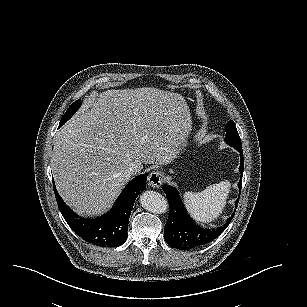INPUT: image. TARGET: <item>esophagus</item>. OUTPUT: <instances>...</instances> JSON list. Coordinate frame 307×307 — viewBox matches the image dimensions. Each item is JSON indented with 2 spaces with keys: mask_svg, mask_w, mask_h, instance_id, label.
I'll list each match as a JSON object with an SVG mask.
<instances>
[{
  "mask_svg": "<svg viewBox=\"0 0 307 307\" xmlns=\"http://www.w3.org/2000/svg\"><path fill=\"white\" fill-rule=\"evenodd\" d=\"M164 173L161 171H152L148 176V186L151 188H158L162 185Z\"/></svg>",
  "mask_w": 307,
  "mask_h": 307,
  "instance_id": "1",
  "label": "esophagus"
}]
</instances>
